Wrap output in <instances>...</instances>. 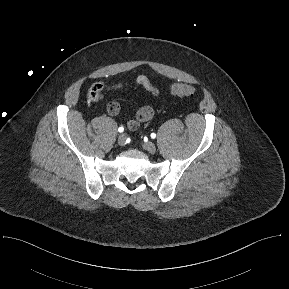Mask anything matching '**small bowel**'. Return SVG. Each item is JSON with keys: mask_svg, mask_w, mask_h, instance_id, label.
<instances>
[{"mask_svg": "<svg viewBox=\"0 0 289 289\" xmlns=\"http://www.w3.org/2000/svg\"><path fill=\"white\" fill-rule=\"evenodd\" d=\"M134 83L137 86L144 88L153 96H158L160 94V90L152 84V82L146 75H142V74L138 75L135 78ZM125 86H126V83L123 81L112 82L106 85L105 92H109V93L118 92L124 89ZM102 97L103 95L100 96V99ZM119 111H120V107L118 103L111 102L108 104L107 112L109 115L116 116L118 115ZM153 116H154V109L151 106H143L137 110L135 117L126 123V127L128 130L134 131L138 129L142 123H145L151 120Z\"/></svg>", "mask_w": 289, "mask_h": 289, "instance_id": "1", "label": "small bowel"}]
</instances>
